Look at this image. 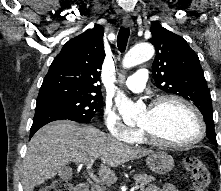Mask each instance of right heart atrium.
Returning <instances> with one entry per match:
<instances>
[{"label":"right heart atrium","mask_w":221,"mask_h":191,"mask_svg":"<svg viewBox=\"0 0 221 191\" xmlns=\"http://www.w3.org/2000/svg\"><path fill=\"white\" fill-rule=\"evenodd\" d=\"M103 124L111 137L126 143H133L140 134L138 129L127 126L116 110L110 106H107L103 112Z\"/></svg>","instance_id":"d8ad5b80"}]
</instances>
